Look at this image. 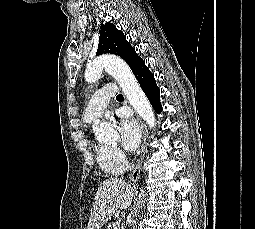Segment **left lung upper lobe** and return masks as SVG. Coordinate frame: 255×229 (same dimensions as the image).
Segmentation results:
<instances>
[{
    "label": "left lung upper lobe",
    "instance_id": "1",
    "mask_svg": "<svg viewBox=\"0 0 255 229\" xmlns=\"http://www.w3.org/2000/svg\"><path fill=\"white\" fill-rule=\"evenodd\" d=\"M115 54L123 58L131 69L136 65L140 57L126 40L124 34L108 22L101 25L99 44L96 55Z\"/></svg>",
    "mask_w": 255,
    "mask_h": 229
}]
</instances>
